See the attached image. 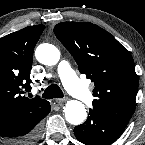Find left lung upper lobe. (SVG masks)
<instances>
[{"mask_svg": "<svg viewBox=\"0 0 145 145\" xmlns=\"http://www.w3.org/2000/svg\"><path fill=\"white\" fill-rule=\"evenodd\" d=\"M54 33L76 60L79 71L94 82L95 99L90 110L126 125L138 89L131 54L111 34L92 23H59Z\"/></svg>", "mask_w": 145, "mask_h": 145, "instance_id": "5c2ea615", "label": "left lung upper lobe"}]
</instances>
